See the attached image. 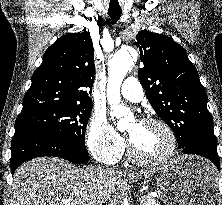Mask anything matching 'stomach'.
Returning <instances> with one entry per match:
<instances>
[{
    "label": "stomach",
    "instance_id": "0dacf381",
    "mask_svg": "<svg viewBox=\"0 0 222 205\" xmlns=\"http://www.w3.org/2000/svg\"><path fill=\"white\" fill-rule=\"evenodd\" d=\"M157 192L165 205H210L217 191L215 168L196 156L174 158L155 172ZM141 177L130 175V180Z\"/></svg>",
    "mask_w": 222,
    "mask_h": 205
}]
</instances>
